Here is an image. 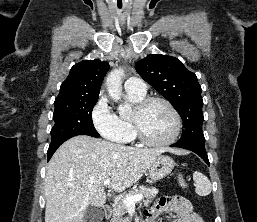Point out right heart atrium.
<instances>
[{
	"label": "right heart atrium",
	"instance_id": "obj_1",
	"mask_svg": "<svg viewBox=\"0 0 257 222\" xmlns=\"http://www.w3.org/2000/svg\"><path fill=\"white\" fill-rule=\"evenodd\" d=\"M97 106H102L104 108L107 107V99L105 97H101L99 99L98 105ZM95 110L93 112V120H94V125L98 132L105 138L116 141V142H124L127 139L126 135V130L122 126V124L119 122L118 117L115 115L111 114V119L112 123L105 125V126H100L96 120H95Z\"/></svg>",
	"mask_w": 257,
	"mask_h": 222
}]
</instances>
